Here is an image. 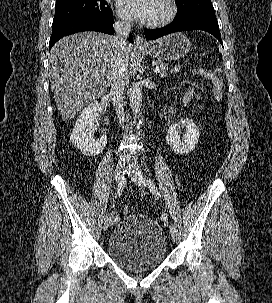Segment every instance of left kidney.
<instances>
[{
  "mask_svg": "<svg viewBox=\"0 0 272 303\" xmlns=\"http://www.w3.org/2000/svg\"><path fill=\"white\" fill-rule=\"evenodd\" d=\"M186 128L185 137L180 140V128ZM199 129L190 119H184L181 124H172L167 131L166 140L173 151L187 154L192 151L199 141Z\"/></svg>",
  "mask_w": 272,
  "mask_h": 303,
  "instance_id": "5707ae66",
  "label": "left kidney"
}]
</instances>
